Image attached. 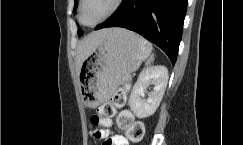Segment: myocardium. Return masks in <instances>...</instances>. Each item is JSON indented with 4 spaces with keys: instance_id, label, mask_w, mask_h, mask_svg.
I'll return each instance as SVG.
<instances>
[{
    "instance_id": "obj_1",
    "label": "myocardium",
    "mask_w": 243,
    "mask_h": 145,
    "mask_svg": "<svg viewBox=\"0 0 243 145\" xmlns=\"http://www.w3.org/2000/svg\"><path fill=\"white\" fill-rule=\"evenodd\" d=\"M84 2H85V0H80L78 19H79V22L83 26L90 27V28L95 27V26L101 24L102 22L106 21L108 18H110L112 15H114L120 9V7L123 4V0H114L112 7L109 9V11L101 19H99L94 24L88 25V24H85L82 20V10H83Z\"/></svg>"
}]
</instances>
